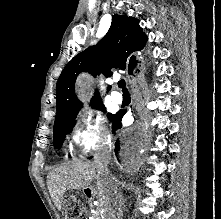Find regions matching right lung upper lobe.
I'll return each mask as SVG.
<instances>
[{
    "label": "right lung upper lobe",
    "mask_w": 221,
    "mask_h": 219,
    "mask_svg": "<svg viewBox=\"0 0 221 219\" xmlns=\"http://www.w3.org/2000/svg\"><path fill=\"white\" fill-rule=\"evenodd\" d=\"M147 39L138 19L115 14L111 27L102 40L96 46L77 54L61 73L56 85L55 120L82 106L74 92L75 80L81 72L85 71L93 76L102 72L106 77L111 76L112 68L128 67L129 73L133 70L137 72L139 62L134 54L143 49ZM98 101L100 96L96 93L91 102Z\"/></svg>",
    "instance_id": "cb5924a9"
}]
</instances>
